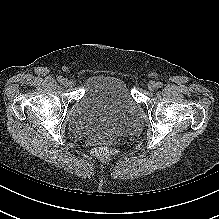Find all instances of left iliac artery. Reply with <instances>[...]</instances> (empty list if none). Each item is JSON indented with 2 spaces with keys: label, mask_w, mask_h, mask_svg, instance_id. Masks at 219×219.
Returning a JSON list of instances; mask_svg holds the SVG:
<instances>
[{
  "label": "left iliac artery",
  "mask_w": 219,
  "mask_h": 219,
  "mask_svg": "<svg viewBox=\"0 0 219 219\" xmlns=\"http://www.w3.org/2000/svg\"><path fill=\"white\" fill-rule=\"evenodd\" d=\"M162 86H163L162 82H157V83H156V87H157V88H161Z\"/></svg>",
  "instance_id": "1"
}]
</instances>
